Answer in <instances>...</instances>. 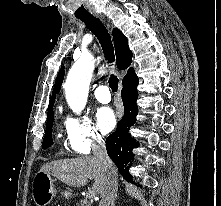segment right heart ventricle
Masks as SVG:
<instances>
[{
    "label": "right heart ventricle",
    "instance_id": "obj_1",
    "mask_svg": "<svg viewBox=\"0 0 221 206\" xmlns=\"http://www.w3.org/2000/svg\"><path fill=\"white\" fill-rule=\"evenodd\" d=\"M65 127H66V129H67V123L65 124Z\"/></svg>",
    "mask_w": 221,
    "mask_h": 206
}]
</instances>
